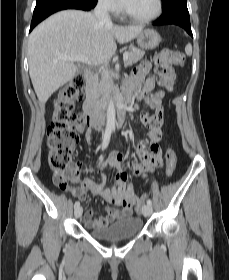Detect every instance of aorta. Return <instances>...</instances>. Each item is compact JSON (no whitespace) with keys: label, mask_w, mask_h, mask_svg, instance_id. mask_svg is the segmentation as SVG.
<instances>
[{"label":"aorta","mask_w":229,"mask_h":280,"mask_svg":"<svg viewBox=\"0 0 229 280\" xmlns=\"http://www.w3.org/2000/svg\"><path fill=\"white\" fill-rule=\"evenodd\" d=\"M116 116V112H115V104L114 101L111 100L108 104V108H107V129L108 130H115V119Z\"/></svg>","instance_id":"obj_1"}]
</instances>
